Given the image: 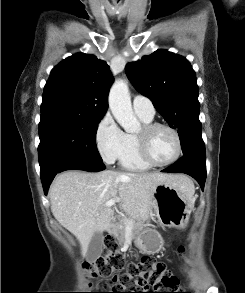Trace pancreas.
I'll return each instance as SVG.
<instances>
[{
	"instance_id": "pancreas-1",
	"label": "pancreas",
	"mask_w": 245,
	"mask_h": 293,
	"mask_svg": "<svg viewBox=\"0 0 245 293\" xmlns=\"http://www.w3.org/2000/svg\"><path fill=\"white\" fill-rule=\"evenodd\" d=\"M127 222H132L131 231L133 235L138 234L146 227L145 217L141 215L128 216V218L121 220L115 227L114 231L115 238L118 240L119 244H123L125 242Z\"/></svg>"
}]
</instances>
